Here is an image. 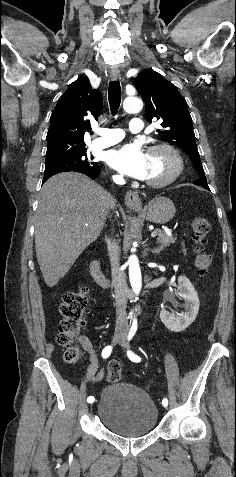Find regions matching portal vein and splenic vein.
<instances>
[{
  "label": "portal vein and splenic vein",
  "instance_id": "18ae733b",
  "mask_svg": "<svg viewBox=\"0 0 236 477\" xmlns=\"http://www.w3.org/2000/svg\"><path fill=\"white\" fill-rule=\"evenodd\" d=\"M156 236H157V232H156V231H153V232L151 233V237H152V238H155Z\"/></svg>",
  "mask_w": 236,
  "mask_h": 477
}]
</instances>
